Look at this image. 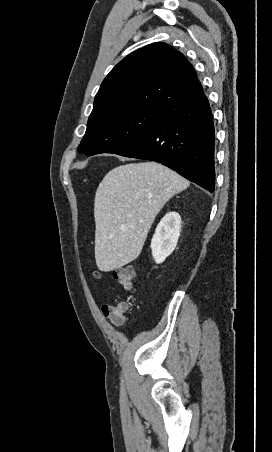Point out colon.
<instances>
[{
    "label": "colon",
    "mask_w": 272,
    "mask_h": 452,
    "mask_svg": "<svg viewBox=\"0 0 272 452\" xmlns=\"http://www.w3.org/2000/svg\"><path fill=\"white\" fill-rule=\"evenodd\" d=\"M97 279L101 278L100 272H95ZM115 278L118 283L125 289H131L135 278V272L131 266H123L115 270ZM129 306L127 303H120L118 305L108 304L106 310L117 315H126Z\"/></svg>",
    "instance_id": "obj_1"
}]
</instances>
